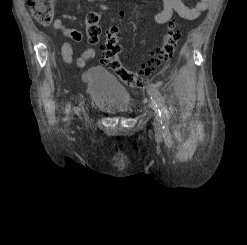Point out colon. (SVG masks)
<instances>
[{
  "label": "colon",
  "mask_w": 247,
  "mask_h": 245,
  "mask_svg": "<svg viewBox=\"0 0 247 245\" xmlns=\"http://www.w3.org/2000/svg\"><path fill=\"white\" fill-rule=\"evenodd\" d=\"M54 3L55 0H27L33 17L42 25H48L53 20ZM100 18L101 11L99 10L90 11L86 15V35L92 44H97L101 35ZM180 37L181 31L178 24L172 22L148 59L139 69L131 70L124 67L120 61L119 54L122 47L119 44V37L113 32H108L102 61L120 81L131 87H140L148 82L154 72L164 68L174 57Z\"/></svg>",
  "instance_id": "1"
}]
</instances>
